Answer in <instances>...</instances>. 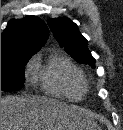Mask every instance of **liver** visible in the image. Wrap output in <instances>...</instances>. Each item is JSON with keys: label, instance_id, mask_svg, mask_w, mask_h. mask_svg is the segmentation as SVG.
<instances>
[{"label": "liver", "instance_id": "obj_1", "mask_svg": "<svg viewBox=\"0 0 123 130\" xmlns=\"http://www.w3.org/2000/svg\"><path fill=\"white\" fill-rule=\"evenodd\" d=\"M92 118L58 100L33 95L1 98V130H93Z\"/></svg>", "mask_w": 123, "mask_h": 130}]
</instances>
